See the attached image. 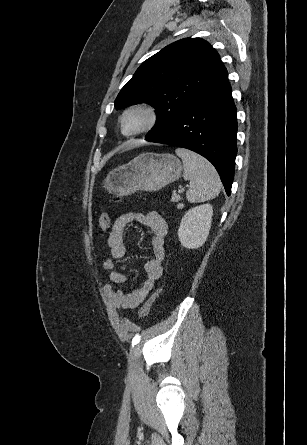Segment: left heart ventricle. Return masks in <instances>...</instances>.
<instances>
[{
    "instance_id": "b2bd125f",
    "label": "left heart ventricle",
    "mask_w": 307,
    "mask_h": 445,
    "mask_svg": "<svg viewBox=\"0 0 307 445\" xmlns=\"http://www.w3.org/2000/svg\"><path fill=\"white\" fill-rule=\"evenodd\" d=\"M149 122V114L144 109H133L129 111L123 122V131L132 134L144 128Z\"/></svg>"
}]
</instances>
